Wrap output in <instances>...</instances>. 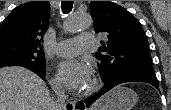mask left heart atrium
Masks as SVG:
<instances>
[{
	"instance_id": "39dd6f15",
	"label": "left heart atrium",
	"mask_w": 171,
	"mask_h": 110,
	"mask_svg": "<svg viewBox=\"0 0 171 110\" xmlns=\"http://www.w3.org/2000/svg\"><path fill=\"white\" fill-rule=\"evenodd\" d=\"M57 72L61 82L74 91L83 90L91 78L90 66L86 62L75 59L60 62Z\"/></svg>"
}]
</instances>
